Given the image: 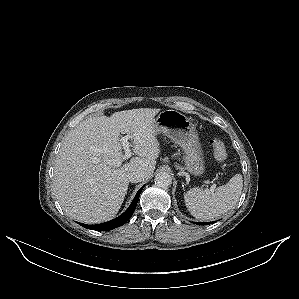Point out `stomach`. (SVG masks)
<instances>
[{"label": "stomach", "mask_w": 299, "mask_h": 299, "mask_svg": "<svg viewBox=\"0 0 299 299\" xmlns=\"http://www.w3.org/2000/svg\"><path fill=\"white\" fill-rule=\"evenodd\" d=\"M155 133H162L179 145L184 152L185 170L200 176L204 170V158L195 125L181 112L174 109L161 111L154 119Z\"/></svg>", "instance_id": "0dacf381"}]
</instances>
